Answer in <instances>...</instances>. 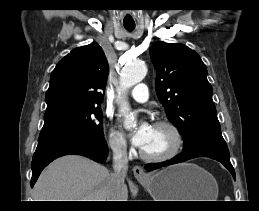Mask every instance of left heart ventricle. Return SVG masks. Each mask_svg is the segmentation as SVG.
Instances as JSON below:
<instances>
[{"instance_id":"obj_1","label":"left heart ventricle","mask_w":259,"mask_h":211,"mask_svg":"<svg viewBox=\"0 0 259 211\" xmlns=\"http://www.w3.org/2000/svg\"><path fill=\"white\" fill-rule=\"evenodd\" d=\"M171 146V135L165 128L152 127L146 144L141 148L148 154H161Z\"/></svg>"}]
</instances>
